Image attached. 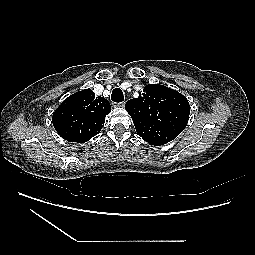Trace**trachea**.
<instances>
[{"label": "trachea", "mask_w": 255, "mask_h": 255, "mask_svg": "<svg viewBox=\"0 0 255 255\" xmlns=\"http://www.w3.org/2000/svg\"><path fill=\"white\" fill-rule=\"evenodd\" d=\"M111 99L112 101L116 102V103H120L124 100V95H123V92L121 89L119 88H115L113 91H112V94H111Z\"/></svg>", "instance_id": "trachea-1"}]
</instances>
